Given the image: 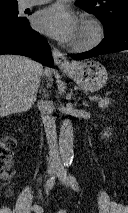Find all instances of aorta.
<instances>
[{"instance_id": "762f6f07", "label": "aorta", "mask_w": 128, "mask_h": 213, "mask_svg": "<svg viewBox=\"0 0 128 213\" xmlns=\"http://www.w3.org/2000/svg\"><path fill=\"white\" fill-rule=\"evenodd\" d=\"M74 133L72 122L69 119H65L62 122L59 136V151L63 165H71L74 158L73 151Z\"/></svg>"}]
</instances>
